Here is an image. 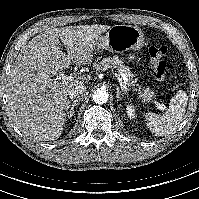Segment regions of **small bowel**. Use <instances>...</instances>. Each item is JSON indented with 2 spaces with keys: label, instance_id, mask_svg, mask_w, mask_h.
<instances>
[{
  "label": "small bowel",
  "instance_id": "c3829d8e",
  "mask_svg": "<svg viewBox=\"0 0 199 199\" xmlns=\"http://www.w3.org/2000/svg\"><path fill=\"white\" fill-rule=\"evenodd\" d=\"M134 59H135V57H134L133 54L128 55V61H129V62L134 61Z\"/></svg>",
  "mask_w": 199,
  "mask_h": 199
}]
</instances>
